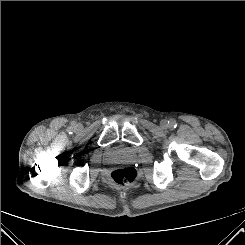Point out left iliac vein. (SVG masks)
I'll return each instance as SVG.
<instances>
[{
    "label": "left iliac vein",
    "mask_w": 245,
    "mask_h": 245,
    "mask_svg": "<svg viewBox=\"0 0 245 245\" xmlns=\"http://www.w3.org/2000/svg\"><path fill=\"white\" fill-rule=\"evenodd\" d=\"M161 127H162V128H167V127H168V123H167L166 120H162V121H161Z\"/></svg>",
    "instance_id": "obj_1"
}]
</instances>
